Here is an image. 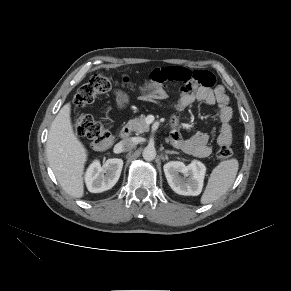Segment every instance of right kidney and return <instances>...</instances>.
<instances>
[{
  "label": "right kidney",
  "mask_w": 291,
  "mask_h": 291,
  "mask_svg": "<svg viewBox=\"0 0 291 291\" xmlns=\"http://www.w3.org/2000/svg\"><path fill=\"white\" fill-rule=\"evenodd\" d=\"M123 167L121 159H108L103 166L98 160L88 167L85 174L87 188L92 193L111 189L119 180Z\"/></svg>",
  "instance_id": "right-kidney-1"
}]
</instances>
